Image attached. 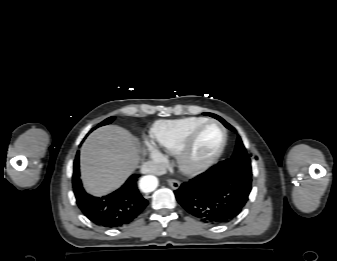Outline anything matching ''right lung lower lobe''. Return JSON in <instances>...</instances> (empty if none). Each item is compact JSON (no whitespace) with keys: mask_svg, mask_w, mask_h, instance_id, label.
Here are the masks:
<instances>
[{"mask_svg":"<svg viewBox=\"0 0 337 261\" xmlns=\"http://www.w3.org/2000/svg\"><path fill=\"white\" fill-rule=\"evenodd\" d=\"M140 175L133 174L115 192L99 197L86 193L79 173V152L74 161L73 191L78 207L96 225L105 228H118L129 224L143 211L148 201L140 194L137 181Z\"/></svg>","mask_w":337,"mask_h":261,"instance_id":"98d812e1","label":"right lung lower lobe"}]
</instances>
